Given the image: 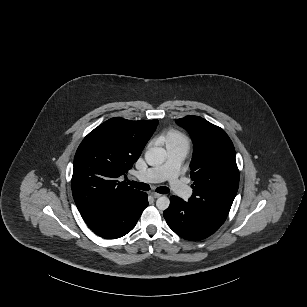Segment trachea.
<instances>
[{"label":"trachea","instance_id":"trachea-1","mask_svg":"<svg viewBox=\"0 0 307 307\" xmlns=\"http://www.w3.org/2000/svg\"><path fill=\"white\" fill-rule=\"evenodd\" d=\"M129 184L132 187H135L136 189H140V190H143V191H148L150 189V186L146 183L129 181ZM156 191L160 194H168L170 192V188L165 187V186H161V187H158Z\"/></svg>","mask_w":307,"mask_h":307}]
</instances>
